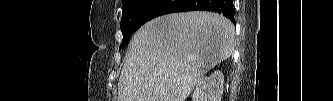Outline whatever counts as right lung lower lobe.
I'll return each instance as SVG.
<instances>
[{"label": "right lung lower lobe", "instance_id": "98d812e1", "mask_svg": "<svg viewBox=\"0 0 333 101\" xmlns=\"http://www.w3.org/2000/svg\"><path fill=\"white\" fill-rule=\"evenodd\" d=\"M233 0H150L136 21L137 29L147 21L174 12L195 10L223 14L235 24Z\"/></svg>", "mask_w": 333, "mask_h": 101}]
</instances>
